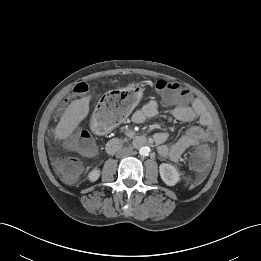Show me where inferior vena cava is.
Here are the masks:
<instances>
[{
  "label": "inferior vena cava",
  "instance_id": "inferior-vena-cava-1",
  "mask_svg": "<svg viewBox=\"0 0 261 261\" xmlns=\"http://www.w3.org/2000/svg\"><path fill=\"white\" fill-rule=\"evenodd\" d=\"M133 152V148L131 146L129 147H123L117 152V157H124L128 156Z\"/></svg>",
  "mask_w": 261,
  "mask_h": 261
}]
</instances>
